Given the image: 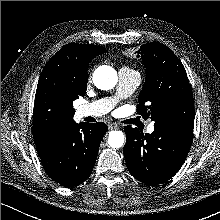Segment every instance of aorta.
Listing matches in <instances>:
<instances>
[{"mask_svg":"<svg viewBox=\"0 0 220 220\" xmlns=\"http://www.w3.org/2000/svg\"><path fill=\"white\" fill-rule=\"evenodd\" d=\"M118 81L117 72L110 66H100L93 74L95 86L101 90L112 89ZM108 144L111 148H121L124 145V134L121 131H111L109 133Z\"/></svg>","mask_w":220,"mask_h":220,"instance_id":"obj_1","label":"aorta"}]
</instances>
